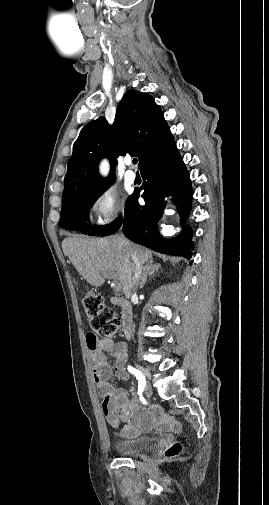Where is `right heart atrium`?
Returning <instances> with one entry per match:
<instances>
[{"instance_id":"obj_1","label":"right heart atrium","mask_w":269,"mask_h":505,"mask_svg":"<svg viewBox=\"0 0 269 505\" xmlns=\"http://www.w3.org/2000/svg\"><path fill=\"white\" fill-rule=\"evenodd\" d=\"M90 220L98 228L113 224L124 214V204L119 193L112 187L98 191L90 203Z\"/></svg>"}]
</instances>
